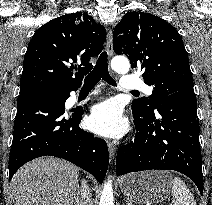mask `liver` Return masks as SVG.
I'll use <instances>...</instances> for the list:
<instances>
[{
  "mask_svg": "<svg viewBox=\"0 0 212 205\" xmlns=\"http://www.w3.org/2000/svg\"><path fill=\"white\" fill-rule=\"evenodd\" d=\"M79 169L64 160L37 158L22 166L10 187L14 205H73Z\"/></svg>",
  "mask_w": 212,
  "mask_h": 205,
  "instance_id": "liver-1",
  "label": "liver"
}]
</instances>
